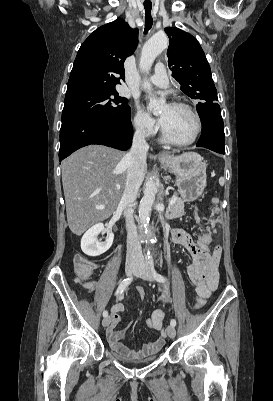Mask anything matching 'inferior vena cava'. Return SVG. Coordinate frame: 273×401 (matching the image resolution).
I'll return each mask as SVG.
<instances>
[{"mask_svg": "<svg viewBox=\"0 0 273 401\" xmlns=\"http://www.w3.org/2000/svg\"><path fill=\"white\" fill-rule=\"evenodd\" d=\"M149 144L145 140V132L142 128H137L131 146L130 152L125 154L127 162V180L124 188L123 196L120 201L121 207L124 209L127 229V255L128 261L135 259H143L141 243L138 239L137 227L134 223L132 209L135 205L137 192L144 180L146 168V154Z\"/></svg>", "mask_w": 273, "mask_h": 401, "instance_id": "obj_1", "label": "inferior vena cava"}]
</instances>
